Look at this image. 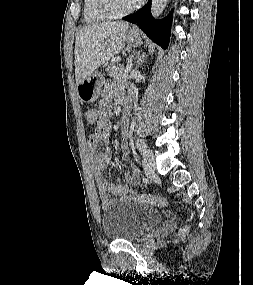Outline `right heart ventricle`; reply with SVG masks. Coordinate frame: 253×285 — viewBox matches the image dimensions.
<instances>
[{
  "mask_svg": "<svg viewBox=\"0 0 253 285\" xmlns=\"http://www.w3.org/2000/svg\"><path fill=\"white\" fill-rule=\"evenodd\" d=\"M83 17L87 23H98L110 18L98 9L96 0H84Z\"/></svg>",
  "mask_w": 253,
  "mask_h": 285,
  "instance_id": "e07e8e85",
  "label": "right heart ventricle"
}]
</instances>
